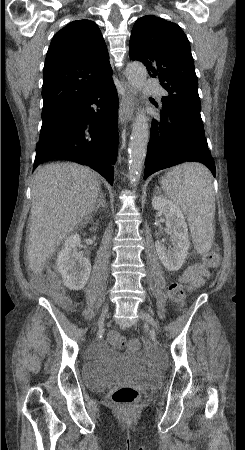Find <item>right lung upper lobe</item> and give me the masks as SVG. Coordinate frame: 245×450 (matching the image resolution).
Wrapping results in <instances>:
<instances>
[{
  "instance_id": "obj_1",
  "label": "right lung upper lobe",
  "mask_w": 245,
  "mask_h": 450,
  "mask_svg": "<svg viewBox=\"0 0 245 450\" xmlns=\"http://www.w3.org/2000/svg\"><path fill=\"white\" fill-rule=\"evenodd\" d=\"M111 74L109 54L97 24L71 22L56 33L46 55L42 113L66 106Z\"/></svg>"
}]
</instances>
